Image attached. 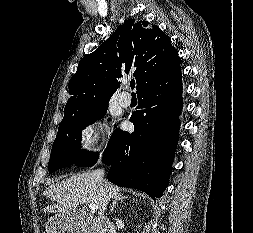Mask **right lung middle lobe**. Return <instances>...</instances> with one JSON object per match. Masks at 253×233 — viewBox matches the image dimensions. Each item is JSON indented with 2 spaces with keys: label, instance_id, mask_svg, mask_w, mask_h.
Masks as SVG:
<instances>
[{
  "label": "right lung middle lobe",
  "instance_id": "1",
  "mask_svg": "<svg viewBox=\"0 0 253 233\" xmlns=\"http://www.w3.org/2000/svg\"><path fill=\"white\" fill-rule=\"evenodd\" d=\"M107 109L108 102H103L62 120L52 146L49 173L69 165H78L98 154L81 150V133L86 126L101 119Z\"/></svg>",
  "mask_w": 253,
  "mask_h": 233
}]
</instances>
